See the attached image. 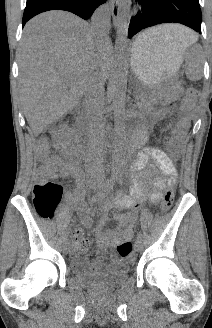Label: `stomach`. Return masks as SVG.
<instances>
[{"mask_svg": "<svg viewBox=\"0 0 212 328\" xmlns=\"http://www.w3.org/2000/svg\"><path fill=\"white\" fill-rule=\"evenodd\" d=\"M186 48L165 39H148L143 45L133 44L131 69L146 86L152 87L175 75Z\"/></svg>", "mask_w": 212, "mask_h": 328, "instance_id": "0dacf381", "label": "stomach"}]
</instances>
